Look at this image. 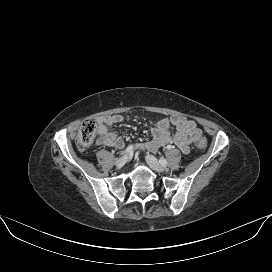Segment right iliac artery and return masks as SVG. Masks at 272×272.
<instances>
[{"mask_svg":"<svg viewBox=\"0 0 272 272\" xmlns=\"http://www.w3.org/2000/svg\"><path fill=\"white\" fill-rule=\"evenodd\" d=\"M134 151V147L132 145H129L127 148H126V153L129 154V153H132Z\"/></svg>","mask_w":272,"mask_h":272,"instance_id":"1","label":"right iliac artery"}]
</instances>
